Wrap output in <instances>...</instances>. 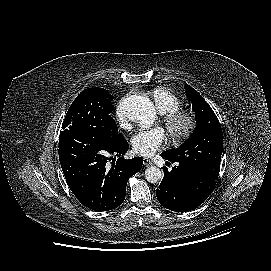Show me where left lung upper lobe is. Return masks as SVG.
<instances>
[{
	"mask_svg": "<svg viewBox=\"0 0 271 271\" xmlns=\"http://www.w3.org/2000/svg\"><path fill=\"white\" fill-rule=\"evenodd\" d=\"M185 90L196 114L197 127L180 147L163 154L217 180L223 150L221 125L212 108L194 88L185 83Z\"/></svg>",
	"mask_w": 271,
	"mask_h": 271,
	"instance_id": "obj_1",
	"label": "left lung upper lobe"
}]
</instances>
